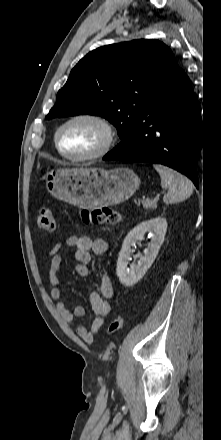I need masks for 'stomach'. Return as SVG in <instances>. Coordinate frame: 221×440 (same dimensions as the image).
<instances>
[{"label":"stomach","instance_id":"0dacf381","mask_svg":"<svg viewBox=\"0 0 221 440\" xmlns=\"http://www.w3.org/2000/svg\"><path fill=\"white\" fill-rule=\"evenodd\" d=\"M46 189L54 197L83 209L112 206L128 200L140 186L129 168H65L48 172Z\"/></svg>","mask_w":221,"mask_h":440}]
</instances>
